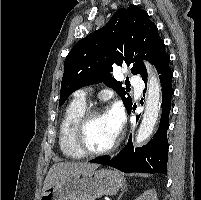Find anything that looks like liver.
I'll return each instance as SVG.
<instances>
[{"label": "liver", "mask_w": 201, "mask_h": 200, "mask_svg": "<svg viewBox=\"0 0 201 200\" xmlns=\"http://www.w3.org/2000/svg\"><path fill=\"white\" fill-rule=\"evenodd\" d=\"M98 168L97 164L81 163V162H65L54 164L44 181L43 192L47 190L51 185L57 183L61 179H64L72 174L92 171Z\"/></svg>", "instance_id": "6515ba94"}]
</instances>
